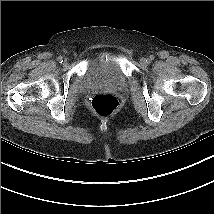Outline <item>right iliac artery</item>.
<instances>
[{"mask_svg": "<svg viewBox=\"0 0 214 214\" xmlns=\"http://www.w3.org/2000/svg\"><path fill=\"white\" fill-rule=\"evenodd\" d=\"M57 60L59 61V63H62L63 62V57L59 56Z\"/></svg>", "mask_w": 214, "mask_h": 214, "instance_id": "right-iliac-artery-1", "label": "right iliac artery"}]
</instances>
